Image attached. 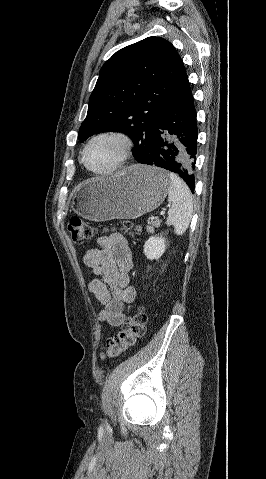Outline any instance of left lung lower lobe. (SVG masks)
<instances>
[{
    "label": "left lung lower lobe",
    "instance_id": "1",
    "mask_svg": "<svg viewBox=\"0 0 266 479\" xmlns=\"http://www.w3.org/2000/svg\"><path fill=\"white\" fill-rule=\"evenodd\" d=\"M197 135L194 99L186 77L164 107L142 163L176 173L194 192Z\"/></svg>",
    "mask_w": 266,
    "mask_h": 479
}]
</instances>
